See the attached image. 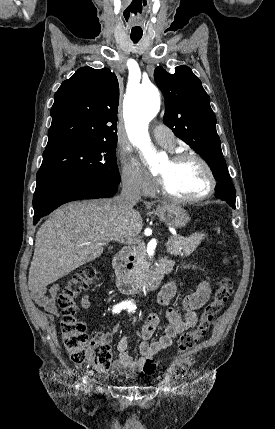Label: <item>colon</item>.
<instances>
[{
  "instance_id": "1",
  "label": "colon",
  "mask_w": 275,
  "mask_h": 429,
  "mask_svg": "<svg viewBox=\"0 0 275 429\" xmlns=\"http://www.w3.org/2000/svg\"><path fill=\"white\" fill-rule=\"evenodd\" d=\"M97 270L86 266L76 272L63 286L58 296V305L62 312L61 336L66 352L74 363H88L100 372L108 371L112 363V350L109 341L102 337L90 340L86 326L77 318V296L90 287L96 278ZM233 290V282L227 275L219 281L212 301L205 305L198 323L181 335L178 340V352L169 365L167 372L171 377L184 376L194 362L192 349L205 337L214 318L223 309ZM155 369L153 360L146 365L145 372Z\"/></svg>"
}]
</instances>
